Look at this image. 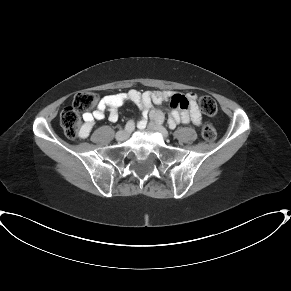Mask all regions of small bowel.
<instances>
[{"instance_id":"obj_1","label":"small bowel","mask_w":291,"mask_h":291,"mask_svg":"<svg viewBox=\"0 0 291 291\" xmlns=\"http://www.w3.org/2000/svg\"><path fill=\"white\" fill-rule=\"evenodd\" d=\"M177 101V109H174L170 115V125L192 122L194 125H200L202 116L197 104L195 93L178 94L166 90L147 91L141 93L137 90H130L127 93H113L105 96L97 105L93 112L83 114V123L79 129V137L86 138L91 133L96 122L105 117L108 111V118L111 122H116L119 118V107L125 102H133L142 112L141 127H145V117L152 104H161L165 101ZM183 102L190 103L188 109L181 108Z\"/></svg>"}]
</instances>
